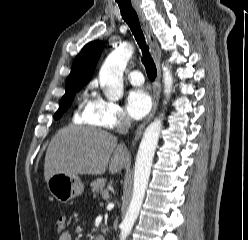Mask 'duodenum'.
<instances>
[{
    "label": "duodenum",
    "instance_id": "duodenum-1",
    "mask_svg": "<svg viewBox=\"0 0 248 240\" xmlns=\"http://www.w3.org/2000/svg\"><path fill=\"white\" fill-rule=\"evenodd\" d=\"M97 240H105L103 237H97Z\"/></svg>",
    "mask_w": 248,
    "mask_h": 240
}]
</instances>
